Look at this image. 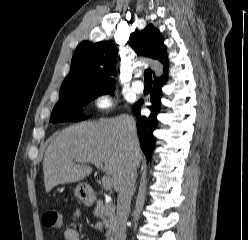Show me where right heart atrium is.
I'll use <instances>...</instances> for the list:
<instances>
[{"mask_svg":"<svg viewBox=\"0 0 248 240\" xmlns=\"http://www.w3.org/2000/svg\"><path fill=\"white\" fill-rule=\"evenodd\" d=\"M93 107L98 111H106L111 107V97L107 93H98L93 97Z\"/></svg>","mask_w":248,"mask_h":240,"instance_id":"1","label":"right heart atrium"}]
</instances>
